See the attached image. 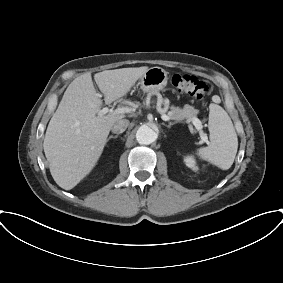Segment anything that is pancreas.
<instances>
[{
  "label": "pancreas",
  "instance_id": "obj_1",
  "mask_svg": "<svg viewBox=\"0 0 283 283\" xmlns=\"http://www.w3.org/2000/svg\"><path fill=\"white\" fill-rule=\"evenodd\" d=\"M160 103H163L165 107L168 106L169 101L167 99L163 100L162 98L158 99ZM198 110L193 106L186 104L182 109L179 107H171V110L168 112V116L176 121H182L187 119L191 121L193 118H196Z\"/></svg>",
  "mask_w": 283,
  "mask_h": 283
}]
</instances>
